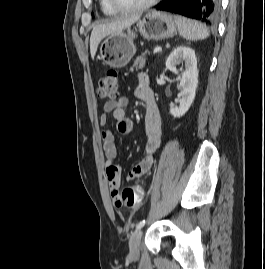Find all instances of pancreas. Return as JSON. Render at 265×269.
<instances>
[{"mask_svg": "<svg viewBox=\"0 0 265 269\" xmlns=\"http://www.w3.org/2000/svg\"><path fill=\"white\" fill-rule=\"evenodd\" d=\"M146 65V54H142L136 58L131 68V71L135 68L136 70L142 69Z\"/></svg>", "mask_w": 265, "mask_h": 269, "instance_id": "obj_1", "label": "pancreas"}]
</instances>
